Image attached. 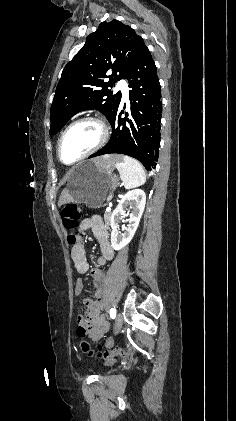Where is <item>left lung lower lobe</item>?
<instances>
[{
    "label": "left lung lower lobe",
    "mask_w": 236,
    "mask_h": 421,
    "mask_svg": "<svg viewBox=\"0 0 236 421\" xmlns=\"http://www.w3.org/2000/svg\"><path fill=\"white\" fill-rule=\"evenodd\" d=\"M126 79L132 88L129 91L130 112L122 118L124 111L120 110L119 104L110 120L112 135L109 142L89 158L125 154L139 160L151 172L156 168L159 156L162 103L156 66L145 44L137 50Z\"/></svg>",
    "instance_id": "left-lung-lower-lobe-1"
}]
</instances>
